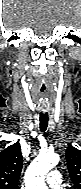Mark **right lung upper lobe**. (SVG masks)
I'll return each instance as SVG.
<instances>
[{
	"label": "right lung upper lobe",
	"mask_w": 81,
	"mask_h": 189,
	"mask_svg": "<svg viewBox=\"0 0 81 189\" xmlns=\"http://www.w3.org/2000/svg\"><path fill=\"white\" fill-rule=\"evenodd\" d=\"M22 165L19 142L0 152V189H18Z\"/></svg>",
	"instance_id": "1"
}]
</instances>
